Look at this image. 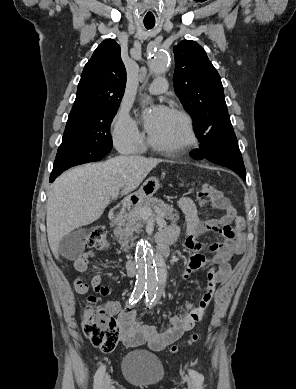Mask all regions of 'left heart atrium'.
Masks as SVG:
<instances>
[{
    "instance_id": "39dd6f15",
    "label": "left heart atrium",
    "mask_w": 296,
    "mask_h": 389,
    "mask_svg": "<svg viewBox=\"0 0 296 389\" xmlns=\"http://www.w3.org/2000/svg\"><path fill=\"white\" fill-rule=\"evenodd\" d=\"M168 111L165 107H156L145 115V127L150 134L157 130Z\"/></svg>"
}]
</instances>
